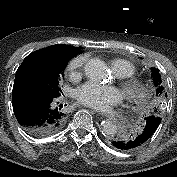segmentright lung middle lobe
Masks as SVG:
<instances>
[{"mask_svg": "<svg viewBox=\"0 0 177 177\" xmlns=\"http://www.w3.org/2000/svg\"><path fill=\"white\" fill-rule=\"evenodd\" d=\"M65 66L66 63L59 69L45 73L28 72L19 79L17 84L14 83V86L50 96H60L62 90L59 87V80L63 76Z\"/></svg>", "mask_w": 177, "mask_h": 177, "instance_id": "1", "label": "right lung middle lobe"}]
</instances>
